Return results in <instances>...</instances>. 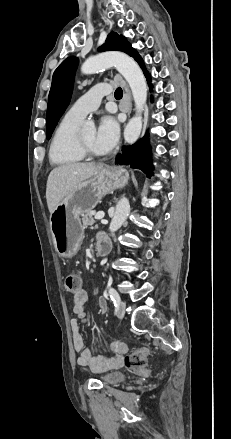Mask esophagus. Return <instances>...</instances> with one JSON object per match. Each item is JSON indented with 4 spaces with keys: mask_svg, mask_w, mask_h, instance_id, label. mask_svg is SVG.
<instances>
[{
    "mask_svg": "<svg viewBox=\"0 0 231 439\" xmlns=\"http://www.w3.org/2000/svg\"><path fill=\"white\" fill-rule=\"evenodd\" d=\"M124 91H125V100L128 104V114H130L132 108V102H131V93L127 85H125Z\"/></svg>",
    "mask_w": 231,
    "mask_h": 439,
    "instance_id": "esophagus-1",
    "label": "esophagus"
}]
</instances>
